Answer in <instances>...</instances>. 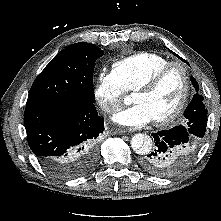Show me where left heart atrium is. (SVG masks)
Segmentation results:
<instances>
[{
	"label": "left heart atrium",
	"instance_id": "left-heart-atrium-1",
	"mask_svg": "<svg viewBox=\"0 0 221 221\" xmlns=\"http://www.w3.org/2000/svg\"><path fill=\"white\" fill-rule=\"evenodd\" d=\"M112 119L115 123L121 126L135 128L142 127L153 121L151 113L141 104H135L127 109L117 112Z\"/></svg>",
	"mask_w": 221,
	"mask_h": 221
}]
</instances>
